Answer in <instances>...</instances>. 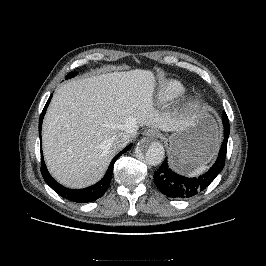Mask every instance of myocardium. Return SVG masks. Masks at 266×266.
Wrapping results in <instances>:
<instances>
[{
    "instance_id": "myocardium-1",
    "label": "myocardium",
    "mask_w": 266,
    "mask_h": 266,
    "mask_svg": "<svg viewBox=\"0 0 266 266\" xmlns=\"http://www.w3.org/2000/svg\"><path fill=\"white\" fill-rule=\"evenodd\" d=\"M183 103L188 110H195L201 106L202 100L199 96L188 95L185 97Z\"/></svg>"
}]
</instances>
